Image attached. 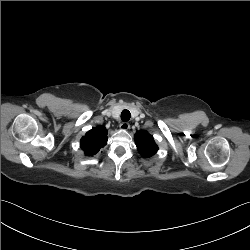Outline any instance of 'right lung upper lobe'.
Instances as JSON below:
<instances>
[{
  "mask_svg": "<svg viewBox=\"0 0 250 250\" xmlns=\"http://www.w3.org/2000/svg\"><path fill=\"white\" fill-rule=\"evenodd\" d=\"M81 148L85 155L93 156L107 143V130L103 126L92 128L81 138Z\"/></svg>",
  "mask_w": 250,
  "mask_h": 250,
  "instance_id": "right-lung-upper-lobe-1",
  "label": "right lung upper lobe"
}]
</instances>
